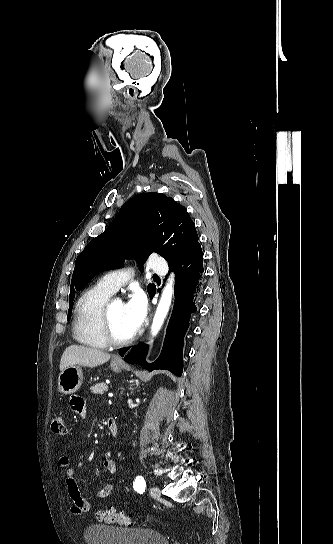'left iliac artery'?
I'll return each mask as SVG.
<instances>
[{
  "label": "left iliac artery",
  "instance_id": "obj_1",
  "mask_svg": "<svg viewBox=\"0 0 333 544\" xmlns=\"http://www.w3.org/2000/svg\"><path fill=\"white\" fill-rule=\"evenodd\" d=\"M133 487L138 493H143L146 489V482L144 478L142 476H137L133 483Z\"/></svg>",
  "mask_w": 333,
  "mask_h": 544
}]
</instances>
